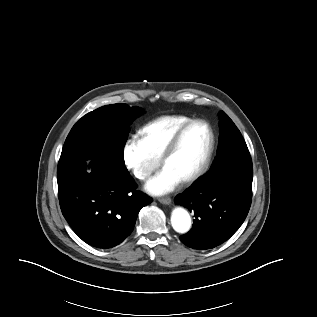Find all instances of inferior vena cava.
<instances>
[{
  "mask_svg": "<svg viewBox=\"0 0 317 317\" xmlns=\"http://www.w3.org/2000/svg\"><path fill=\"white\" fill-rule=\"evenodd\" d=\"M150 174H146L145 177H148Z\"/></svg>",
  "mask_w": 317,
  "mask_h": 317,
  "instance_id": "602c4592",
  "label": "inferior vena cava"
}]
</instances>
